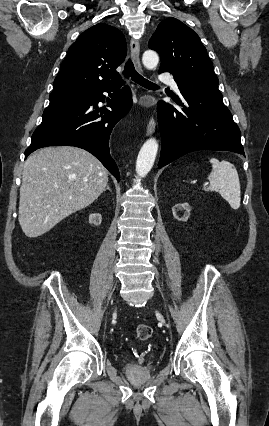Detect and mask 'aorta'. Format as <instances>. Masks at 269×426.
Masks as SVG:
<instances>
[{"label":"aorta","instance_id":"762f6f07","mask_svg":"<svg viewBox=\"0 0 269 426\" xmlns=\"http://www.w3.org/2000/svg\"><path fill=\"white\" fill-rule=\"evenodd\" d=\"M142 62L147 69H154L159 62L158 54L153 50H147L143 53ZM158 151V142L155 138H149L141 147L137 161L136 173L140 177L146 176L153 167Z\"/></svg>","mask_w":269,"mask_h":426}]
</instances>
